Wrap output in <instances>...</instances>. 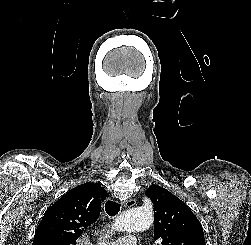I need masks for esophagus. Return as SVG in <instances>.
<instances>
[{
	"mask_svg": "<svg viewBox=\"0 0 251 245\" xmlns=\"http://www.w3.org/2000/svg\"><path fill=\"white\" fill-rule=\"evenodd\" d=\"M135 205V199L133 198H130L129 200H127L125 203H124V207H132Z\"/></svg>",
	"mask_w": 251,
	"mask_h": 245,
	"instance_id": "esophagus-1",
	"label": "esophagus"
}]
</instances>
